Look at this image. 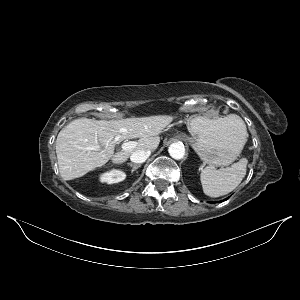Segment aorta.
Listing matches in <instances>:
<instances>
[{
    "mask_svg": "<svg viewBox=\"0 0 300 300\" xmlns=\"http://www.w3.org/2000/svg\"><path fill=\"white\" fill-rule=\"evenodd\" d=\"M168 152L172 158L179 160L185 155V147L182 143L175 142L169 146Z\"/></svg>",
    "mask_w": 300,
    "mask_h": 300,
    "instance_id": "1",
    "label": "aorta"
}]
</instances>
